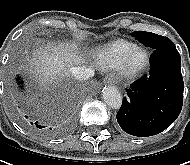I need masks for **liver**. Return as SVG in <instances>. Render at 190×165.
Listing matches in <instances>:
<instances>
[{
  "instance_id": "liver-1",
  "label": "liver",
  "mask_w": 190,
  "mask_h": 165,
  "mask_svg": "<svg viewBox=\"0 0 190 165\" xmlns=\"http://www.w3.org/2000/svg\"><path fill=\"white\" fill-rule=\"evenodd\" d=\"M84 62L82 55L74 53V47L47 43L32 52L29 72L40 86L47 87L53 81L68 77L70 67Z\"/></svg>"
}]
</instances>
